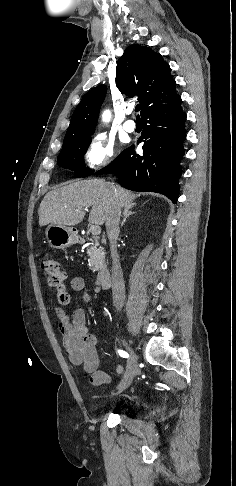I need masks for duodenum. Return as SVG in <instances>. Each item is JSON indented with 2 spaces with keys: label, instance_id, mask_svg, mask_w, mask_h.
Here are the masks:
<instances>
[{
  "label": "duodenum",
  "instance_id": "duodenum-1",
  "mask_svg": "<svg viewBox=\"0 0 236 486\" xmlns=\"http://www.w3.org/2000/svg\"><path fill=\"white\" fill-rule=\"evenodd\" d=\"M110 282V271L107 268H102L97 274L96 283L102 289H106Z\"/></svg>",
  "mask_w": 236,
  "mask_h": 486
}]
</instances>
